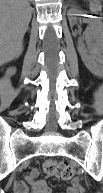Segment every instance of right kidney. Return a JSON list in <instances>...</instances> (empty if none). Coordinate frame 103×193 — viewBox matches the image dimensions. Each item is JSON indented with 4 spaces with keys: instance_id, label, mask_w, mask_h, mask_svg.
Returning <instances> with one entry per match:
<instances>
[{
    "instance_id": "obj_1",
    "label": "right kidney",
    "mask_w": 103,
    "mask_h": 193,
    "mask_svg": "<svg viewBox=\"0 0 103 193\" xmlns=\"http://www.w3.org/2000/svg\"><path fill=\"white\" fill-rule=\"evenodd\" d=\"M7 73L12 75L15 73V69L10 68L7 70Z\"/></svg>"
}]
</instances>
